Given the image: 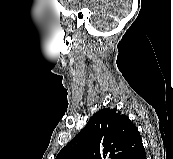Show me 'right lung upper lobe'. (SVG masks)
Wrapping results in <instances>:
<instances>
[{
  "mask_svg": "<svg viewBox=\"0 0 173 159\" xmlns=\"http://www.w3.org/2000/svg\"><path fill=\"white\" fill-rule=\"evenodd\" d=\"M144 150L140 133L115 108L95 113L56 159H134Z\"/></svg>",
  "mask_w": 173,
  "mask_h": 159,
  "instance_id": "obj_1",
  "label": "right lung upper lobe"
}]
</instances>
